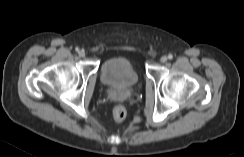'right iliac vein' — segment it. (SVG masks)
Returning <instances> with one entry per match:
<instances>
[{
	"label": "right iliac vein",
	"instance_id": "right-iliac-vein-1",
	"mask_svg": "<svg viewBox=\"0 0 244 157\" xmlns=\"http://www.w3.org/2000/svg\"><path fill=\"white\" fill-rule=\"evenodd\" d=\"M78 54H79L80 57H84L85 56V51L84 50H80Z\"/></svg>",
	"mask_w": 244,
	"mask_h": 157
}]
</instances>
